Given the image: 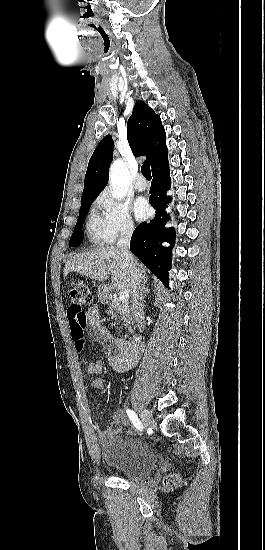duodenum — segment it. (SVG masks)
I'll use <instances>...</instances> for the list:
<instances>
[{
    "label": "duodenum",
    "instance_id": "410a0bca",
    "mask_svg": "<svg viewBox=\"0 0 265 550\" xmlns=\"http://www.w3.org/2000/svg\"><path fill=\"white\" fill-rule=\"evenodd\" d=\"M106 294V291H103L102 292V296H104ZM127 343L129 344V346L133 349V350H139L141 348V338L139 336H136V337H133L131 339H129L127 341Z\"/></svg>",
    "mask_w": 265,
    "mask_h": 550
}]
</instances>
